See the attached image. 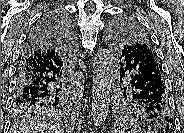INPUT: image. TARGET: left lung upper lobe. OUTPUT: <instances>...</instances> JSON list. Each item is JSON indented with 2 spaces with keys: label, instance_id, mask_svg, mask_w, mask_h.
Instances as JSON below:
<instances>
[{
  "label": "left lung upper lobe",
  "instance_id": "1",
  "mask_svg": "<svg viewBox=\"0 0 184 133\" xmlns=\"http://www.w3.org/2000/svg\"><path fill=\"white\" fill-rule=\"evenodd\" d=\"M108 36L119 62L120 83H123V77L129 78L131 68L135 69L142 63L148 68L151 67L149 70H154V73L162 76V69L150 38L135 20L130 18L113 20L109 25ZM126 68L129 70L125 71ZM116 96V106L121 115H128L138 120L146 119L139 110V102L135 99L130 84L118 88Z\"/></svg>",
  "mask_w": 184,
  "mask_h": 133
}]
</instances>
